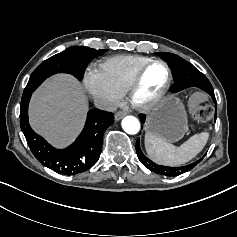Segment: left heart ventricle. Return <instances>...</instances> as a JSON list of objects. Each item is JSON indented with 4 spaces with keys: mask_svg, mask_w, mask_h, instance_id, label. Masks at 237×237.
Instances as JSON below:
<instances>
[{
    "mask_svg": "<svg viewBox=\"0 0 237 237\" xmlns=\"http://www.w3.org/2000/svg\"><path fill=\"white\" fill-rule=\"evenodd\" d=\"M167 77L165 68L160 64L150 66L145 72L137 93L139 101H145L154 96L164 85Z\"/></svg>",
    "mask_w": 237,
    "mask_h": 237,
    "instance_id": "obj_1",
    "label": "left heart ventricle"
}]
</instances>
